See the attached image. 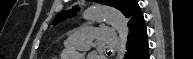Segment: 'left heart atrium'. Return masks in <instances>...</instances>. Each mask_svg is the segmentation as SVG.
<instances>
[{
  "mask_svg": "<svg viewBox=\"0 0 193 59\" xmlns=\"http://www.w3.org/2000/svg\"><path fill=\"white\" fill-rule=\"evenodd\" d=\"M87 59H99V58L97 57V55L91 54V55L88 56Z\"/></svg>",
  "mask_w": 193,
  "mask_h": 59,
  "instance_id": "1",
  "label": "left heart atrium"
}]
</instances>
